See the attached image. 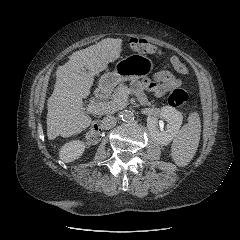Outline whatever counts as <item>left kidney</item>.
Returning <instances> with one entry per match:
<instances>
[{"instance_id":"5707ae66","label":"left kidney","mask_w":240,"mask_h":240,"mask_svg":"<svg viewBox=\"0 0 240 240\" xmlns=\"http://www.w3.org/2000/svg\"><path fill=\"white\" fill-rule=\"evenodd\" d=\"M161 115L166 120V129L159 130L157 127V118L154 116L147 117V128L151 137L161 145H167L179 132L182 125V113L171 106H163Z\"/></svg>"}]
</instances>
